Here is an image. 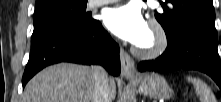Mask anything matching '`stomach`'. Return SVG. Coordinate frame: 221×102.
I'll return each mask as SVG.
<instances>
[{
    "instance_id": "stomach-1",
    "label": "stomach",
    "mask_w": 221,
    "mask_h": 102,
    "mask_svg": "<svg viewBox=\"0 0 221 102\" xmlns=\"http://www.w3.org/2000/svg\"><path fill=\"white\" fill-rule=\"evenodd\" d=\"M139 91L150 98L169 99L173 91L164 77L158 74H148L136 81Z\"/></svg>"
}]
</instances>
